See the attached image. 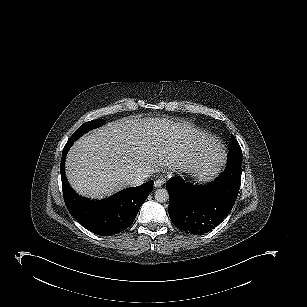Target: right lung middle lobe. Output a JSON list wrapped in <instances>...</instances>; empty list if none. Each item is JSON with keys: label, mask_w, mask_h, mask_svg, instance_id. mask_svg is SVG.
I'll return each mask as SVG.
<instances>
[{"label": "right lung middle lobe", "mask_w": 307, "mask_h": 307, "mask_svg": "<svg viewBox=\"0 0 307 307\" xmlns=\"http://www.w3.org/2000/svg\"><path fill=\"white\" fill-rule=\"evenodd\" d=\"M105 124V120L98 119V120H92L89 122L84 123L81 127H79L74 134L70 137V139L67 141L65 146H71L78 138H80L83 134L86 132L100 127Z\"/></svg>", "instance_id": "obj_1"}]
</instances>
